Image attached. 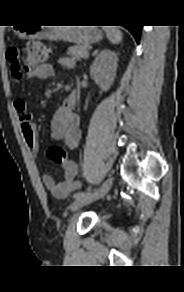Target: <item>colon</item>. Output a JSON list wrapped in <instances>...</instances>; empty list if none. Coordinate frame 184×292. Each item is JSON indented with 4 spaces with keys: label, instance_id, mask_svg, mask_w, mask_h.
Masks as SVG:
<instances>
[{
    "label": "colon",
    "instance_id": "obj_1",
    "mask_svg": "<svg viewBox=\"0 0 184 292\" xmlns=\"http://www.w3.org/2000/svg\"><path fill=\"white\" fill-rule=\"evenodd\" d=\"M49 57V49L42 43L32 42L23 48L11 47L7 51V59L10 62L12 77L21 79L36 67L42 65ZM48 158L57 164H65L68 154L60 146H51L47 151Z\"/></svg>",
    "mask_w": 184,
    "mask_h": 292
}]
</instances>
